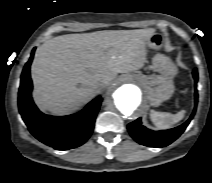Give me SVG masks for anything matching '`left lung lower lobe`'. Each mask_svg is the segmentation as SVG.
<instances>
[{"instance_id":"0a47b994","label":"left lung lower lobe","mask_w":212,"mask_h":183,"mask_svg":"<svg viewBox=\"0 0 212 183\" xmlns=\"http://www.w3.org/2000/svg\"><path fill=\"white\" fill-rule=\"evenodd\" d=\"M193 76L195 82L197 83L198 80L197 70L193 71ZM197 98L198 94L196 90L195 104H197ZM194 114L195 110L193 111L190 118L184 124L169 130H163V131L149 130L141 125L140 118L129 123L127 128L130 135L136 142L149 147H164L175 141L185 131L186 127L192 120Z\"/></svg>"}]
</instances>
